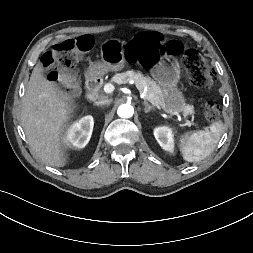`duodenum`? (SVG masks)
Here are the masks:
<instances>
[{
    "label": "duodenum",
    "instance_id": "1",
    "mask_svg": "<svg viewBox=\"0 0 253 253\" xmlns=\"http://www.w3.org/2000/svg\"><path fill=\"white\" fill-rule=\"evenodd\" d=\"M100 79L98 77L92 76L87 80V90L88 98L95 101L98 98V92L100 88Z\"/></svg>",
    "mask_w": 253,
    "mask_h": 253
}]
</instances>
